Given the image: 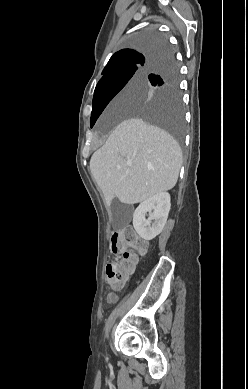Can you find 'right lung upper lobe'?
Masks as SVG:
<instances>
[{"mask_svg":"<svg viewBox=\"0 0 248 389\" xmlns=\"http://www.w3.org/2000/svg\"><path fill=\"white\" fill-rule=\"evenodd\" d=\"M162 47L163 46H154L152 48H147L141 46L137 50H120L110 58L102 74L106 75L114 70L135 64H138L143 68L148 67L150 64H155L160 57L157 53Z\"/></svg>","mask_w":248,"mask_h":389,"instance_id":"1","label":"right lung upper lobe"}]
</instances>
